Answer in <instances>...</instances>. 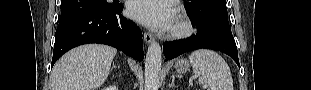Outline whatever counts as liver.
Segmentation results:
<instances>
[{
  "label": "liver",
  "instance_id": "1",
  "mask_svg": "<svg viewBox=\"0 0 311 90\" xmlns=\"http://www.w3.org/2000/svg\"><path fill=\"white\" fill-rule=\"evenodd\" d=\"M117 50L101 44L79 46L54 65L51 90H96L107 79Z\"/></svg>",
  "mask_w": 311,
  "mask_h": 90
}]
</instances>
